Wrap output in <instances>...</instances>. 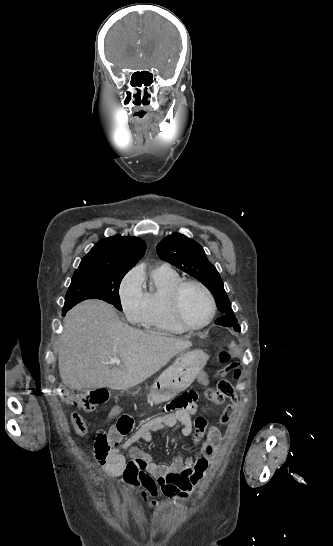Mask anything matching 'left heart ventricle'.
I'll return each instance as SVG.
<instances>
[{"instance_id": "obj_1", "label": "left heart ventricle", "mask_w": 333, "mask_h": 546, "mask_svg": "<svg viewBox=\"0 0 333 546\" xmlns=\"http://www.w3.org/2000/svg\"><path fill=\"white\" fill-rule=\"evenodd\" d=\"M181 308L185 320L191 325H200L210 314V305L206 294L198 287L187 286L181 295Z\"/></svg>"}]
</instances>
